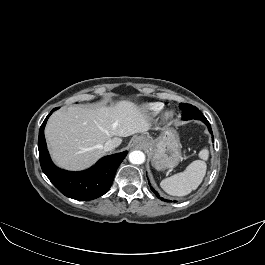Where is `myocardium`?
I'll return each instance as SVG.
<instances>
[{"label":"myocardium","instance_id":"obj_1","mask_svg":"<svg viewBox=\"0 0 265 265\" xmlns=\"http://www.w3.org/2000/svg\"><path fill=\"white\" fill-rule=\"evenodd\" d=\"M175 113L173 110H166L163 115L162 118L164 121H170L173 117H174Z\"/></svg>","mask_w":265,"mask_h":265}]
</instances>
